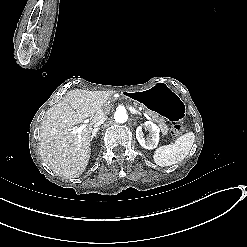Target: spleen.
Wrapping results in <instances>:
<instances>
[{"label": "spleen", "instance_id": "spleen-1", "mask_svg": "<svg viewBox=\"0 0 247 247\" xmlns=\"http://www.w3.org/2000/svg\"><path fill=\"white\" fill-rule=\"evenodd\" d=\"M195 141L193 132L178 137L174 143L156 149L153 159L156 165L165 167L182 161L190 152Z\"/></svg>", "mask_w": 247, "mask_h": 247}]
</instances>
